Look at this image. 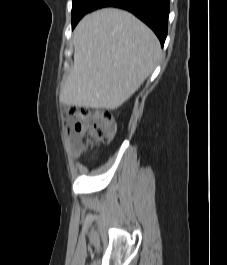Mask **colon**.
Listing matches in <instances>:
<instances>
[{
  "instance_id": "colon-1",
  "label": "colon",
  "mask_w": 227,
  "mask_h": 265,
  "mask_svg": "<svg viewBox=\"0 0 227 265\" xmlns=\"http://www.w3.org/2000/svg\"><path fill=\"white\" fill-rule=\"evenodd\" d=\"M69 114L75 121V131L80 133L76 142L83 149L95 143H108L116 134V123L106 110L78 106L71 107Z\"/></svg>"
}]
</instances>
